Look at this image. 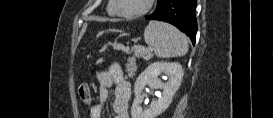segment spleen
Here are the masks:
<instances>
[{
    "instance_id": "3e777b00",
    "label": "spleen",
    "mask_w": 273,
    "mask_h": 118,
    "mask_svg": "<svg viewBox=\"0 0 273 118\" xmlns=\"http://www.w3.org/2000/svg\"><path fill=\"white\" fill-rule=\"evenodd\" d=\"M144 39L155 54L162 58L184 56L188 52V41L175 27L150 21L144 31Z\"/></svg>"
}]
</instances>
